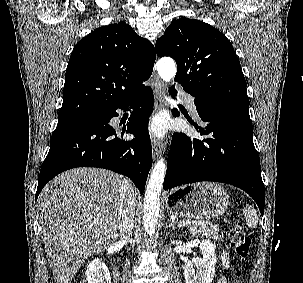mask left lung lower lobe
Returning a JSON list of instances; mask_svg holds the SVG:
<instances>
[{
  "mask_svg": "<svg viewBox=\"0 0 303 283\" xmlns=\"http://www.w3.org/2000/svg\"><path fill=\"white\" fill-rule=\"evenodd\" d=\"M170 93L174 96L177 91L172 87ZM194 103L205 123L195 127L205 138L173 135L163 188L200 181L231 184L247 192L263 215L265 189L249 107L213 99L195 98Z\"/></svg>",
  "mask_w": 303,
  "mask_h": 283,
  "instance_id": "obj_1",
  "label": "left lung lower lobe"
}]
</instances>
